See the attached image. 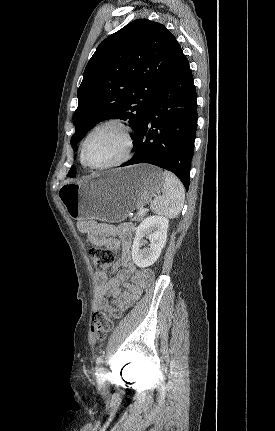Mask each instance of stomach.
I'll return each instance as SVG.
<instances>
[{"label":"stomach","mask_w":275,"mask_h":431,"mask_svg":"<svg viewBox=\"0 0 275 431\" xmlns=\"http://www.w3.org/2000/svg\"><path fill=\"white\" fill-rule=\"evenodd\" d=\"M162 171L139 164L113 169L79 182H66L59 197L75 220L123 221L131 211L147 204L163 186Z\"/></svg>","instance_id":"1"}]
</instances>
